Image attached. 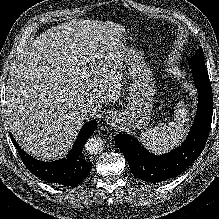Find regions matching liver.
I'll use <instances>...</instances> for the list:
<instances>
[{
  "mask_svg": "<svg viewBox=\"0 0 219 219\" xmlns=\"http://www.w3.org/2000/svg\"><path fill=\"white\" fill-rule=\"evenodd\" d=\"M124 28L73 19L41 33L13 63L6 86L11 133L40 159L62 156L84 123L79 109L98 111L121 93L119 48Z\"/></svg>",
  "mask_w": 219,
  "mask_h": 219,
  "instance_id": "obj_1",
  "label": "liver"
}]
</instances>
